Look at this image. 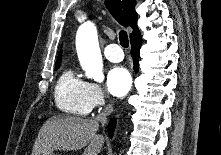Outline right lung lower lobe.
Returning <instances> with one entry per match:
<instances>
[{
    "label": "right lung lower lobe",
    "mask_w": 221,
    "mask_h": 155,
    "mask_svg": "<svg viewBox=\"0 0 221 155\" xmlns=\"http://www.w3.org/2000/svg\"><path fill=\"white\" fill-rule=\"evenodd\" d=\"M141 40L142 39H141L140 33H137L134 37L131 38V56L133 58L134 71L136 73L138 72V69H139L138 61H139V50L141 46ZM115 125H116V119H112L108 125L110 137L113 136Z\"/></svg>",
    "instance_id": "obj_1"
}]
</instances>
